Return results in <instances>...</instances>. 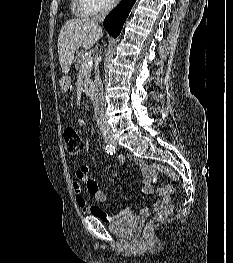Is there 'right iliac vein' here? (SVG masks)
Returning a JSON list of instances; mask_svg holds the SVG:
<instances>
[{"label": "right iliac vein", "mask_w": 233, "mask_h": 263, "mask_svg": "<svg viewBox=\"0 0 233 263\" xmlns=\"http://www.w3.org/2000/svg\"><path fill=\"white\" fill-rule=\"evenodd\" d=\"M104 140L109 143V144H115L116 141L114 139V137L111 134H105L104 135Z\"/></svg>", "instance_id": "63e3f726"}]
</instances>
